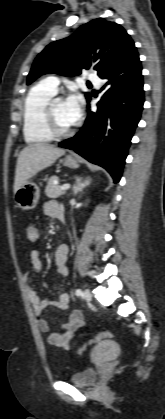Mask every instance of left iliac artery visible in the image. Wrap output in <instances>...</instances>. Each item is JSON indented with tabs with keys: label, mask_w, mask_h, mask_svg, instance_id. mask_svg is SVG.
Returning a JSON list of instances; mask_svg holds the SVG:
<instances>
[{
	"label": "left iliac artery",
	"mask_w": 165,
	"mask_h": 419,
	"mask_svg": "<svg viewBox=\"0 0 165 419\" xmlns=\"http://www.w3.org/2000/svg\"><path fill=\"white\" fill-rule=\"evenodd\" d=\"M75 295L76 296H81L82 295V290L81 289H76Z\"/></svg>",
	"instance_id": "left-iliac-artery-1"
}]
</instances>
